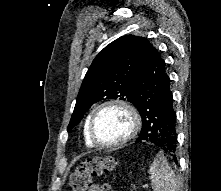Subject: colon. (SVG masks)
<instances>
[{
  "instance_id": "colon-1",
  "label": "colon",
  "mask_w": 221,
  "mask_h": 191,
  "mask_svg": "<svg viewBox=\"0 0 221 191\" xmlns=\"http://www.w3.org/2000/svg\"><path fill=\"white\" fill-rule=\"evenodd\" d=\"M117 166V160L114 157H92L83 160L70 178L72 191H89L92 178L111 173ZM101 191H113L112 187L104 183Z\"/></svg>"
}]
</instances>
